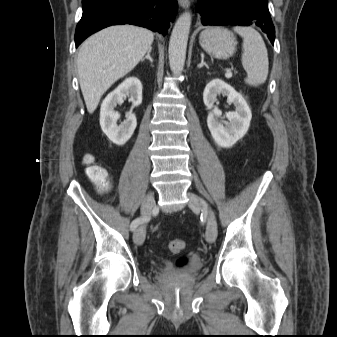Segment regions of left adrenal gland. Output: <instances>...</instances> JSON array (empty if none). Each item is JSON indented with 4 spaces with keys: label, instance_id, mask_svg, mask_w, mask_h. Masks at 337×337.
<instances>
[{
    "label": "left adrenal gland",
    "instance_id": "left-adrenal-gland-1",
    "mask_svg": "<svg viewBox=\"0 0 337 337\" xmlns=\"http://www.w3.org/2000/svg\"><path fill=\"white\" fill-rule=\"evenodd\" d=\"M203 66H205L207 69L209 68L208 65L204 62V54L201 53V63L198 64L197 67H198V68H201V67H203Z\"/></svg>",
    "mask_w": 337,
    "mask_h": 337
}]
</instances>
